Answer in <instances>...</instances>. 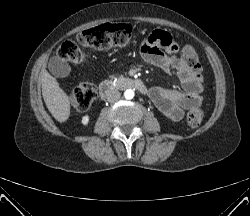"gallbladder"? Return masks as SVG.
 Listing matches in <instances>:
<instances>
[{"instance_id":"1","label":"gallbladder","mask_w":250,"mask_h":216,"mask_svg":"<svg viewBox=\"0 0 250 216\" xmlns=\"http://www.w3.org/2000/svg\"><path fill=\"white\" fill-rule=\"evenodd\" d=\"M49 71L56 77H66L71 72V67L66 60L55 56L50 59L48 64Z\"/></svg>"}]
</instances>
